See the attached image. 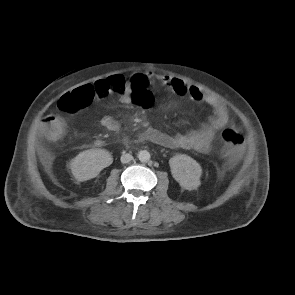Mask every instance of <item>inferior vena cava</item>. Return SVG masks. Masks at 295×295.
I'll list each match as a JSON object with an SVG mask.
<instances>
[{"mask_svg":"<svg viewBox=\"0 0 295 295\" xmlns=\"http://www.w3.org/2000/svg\"><path fill=\"white\" fill-rule=\"evenodd\" d=\"M132 159H133V156H132L131 154H128V153L123 154V155L121 156V162H122V163H128V162H130Z\"/></svg>","mask_w":295,"mask_h":295,"instance_id":"obj_1","label":"inferior vena cava"}]
</instances>
